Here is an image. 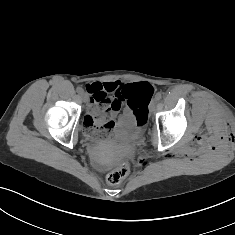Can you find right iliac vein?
<instances>
[{
	"label": "right iliac vein",
	"mask_w": 235,
	"mask_h": 235,
	"mask_svg": "<svg viewBox=\"0 0 235 235\" xmlns=\"http://www.w3.org/2000/svg\"><path fill=\"white\" fill-rule=\"evenodd\" d=\"M81 97H82L83 102L86 103L88 101V95L85 92L81 94Z\"/></svg>",
	"instance_id": "63e3f726"
}]
</instances>
